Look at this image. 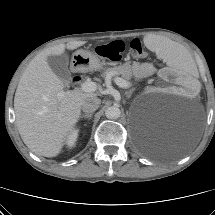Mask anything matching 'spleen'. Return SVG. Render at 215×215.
Returning <instances> with one entry per match:
<instances>
[{"mask_svg":"<svg viewBox=\"0 0 215 215\" xmlns=\"http://www.w3.org/2000/svg\"><path fill=\"white\" fill-rule=\"evenodd\" d=\"M145 44L168 62L169 65H173L181 72L193 74L197 70V65L193 61H190L186 52L176 43L165 42L154 35H149L145 39Z\"/></svg>","mask_w":215,"mask_h":215,"instance_id":"1","label":"spleen"}]
</instances>
